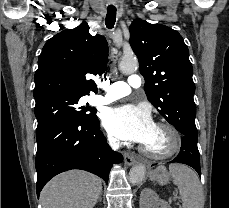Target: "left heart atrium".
<instances>
[{
    "label": "left heart atrium",
    "mask_w": 229,
    "mask_h": 208,
    "mask_svg": "<svg viewBox=\"0 0 229 208\" xmlns=\"http://www.w3.org/2000/svg\"><path fill=\"white\" fill-rule=\"evenodd\" d=\"M103 125L114 137L139 143H144L155 127L147 108L131 104L110 108Z\"/></svg>",
    "instance_id": "39dd6f15"
}]
</instances>
